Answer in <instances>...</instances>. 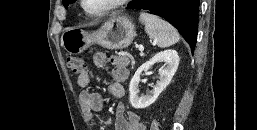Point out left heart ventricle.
Instances as JSON below:
<instances>
[{
	"instance_id": "left-heart-ventricle-1",
	"label": "left heart ventricle",
	"mask_w": 257,
	"mask_h": 130,
	"mask_svg": "<svg viewBox=\"0 0 257 130\" xmlns=\"http://www.w3.org/2000/svg\"><path fill=\"white\" fill-rule=\"evenodd\" d=\"M115 0H85V6L90 12H98L106 8Z\"/></svg>"
}]
</instances>
